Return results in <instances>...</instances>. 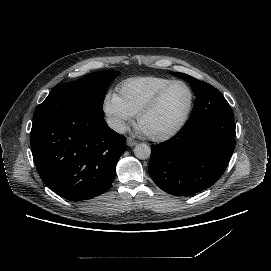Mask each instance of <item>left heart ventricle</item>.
<instances>
[{
    "label": "left heart ventricle",
    "mask_w": 271,
    "mask_h": 271,
    "mask_svg": "<svg viewBox=\"0 0 271 271\" xmlns=\"http://www.w3.org/2000/svg\"><path fill=\"white\" fill-rule=\"evenodd\" d=\"M191 100L188 86L182 83L174 85L166 93L155 111L141 123L147 134H160L175 127L185 115Z\"/></svg>",
    "instance_id": "left-heart-ventricle-1"
}]
</instances>
